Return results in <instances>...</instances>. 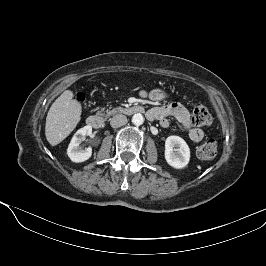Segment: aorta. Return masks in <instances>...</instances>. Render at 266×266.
<instances>
[{"label":"aorta","mask_w":266,"mask_h":266,"mask_svg":"<svg viewBox=\"0 0 266 266\" xmlns=\"http://www.w3.org/2000/svg\"><path fill=\"white\" fill-rule=\"evenodd\" d=\"M144 122V117L142 114L140 113H137V114H134L133 117H132V123L136 126H140L142 125Z\"/></svg>","instance_id":"1"}]
</instances>
